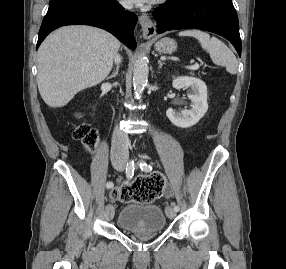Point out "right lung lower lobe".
<instances>
[{
  "label": "right lung lower lobe",
  "mask_w": 286,
  "mask_h": 269,
  "mask_svg": "<svg viewBox=\"0 0 286 269\" xmlns=\"http://www.w3.org/2000/svg\"><path fill=\"white\" fill-rule=\"evenodd\" d=\"M137 17L116 1L112 7H104L91 0H74L49 8L40 27L36 49L45 37L58 27L84 24L107 30L129 48L137 46L133 30Z\"/></svg>",
  "instance_id": "obj_1"
}]
</instances>
